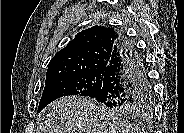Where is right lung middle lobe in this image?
I'll return each mask as SVG.
<instances>
[{"mask_svg":"<svg viewBox=\"0 0 184 133\" xmlns=\"http://www.w3.org/2000/svg\"><path fill=\"white\" fill-rule=\"evenodd\" d=\"M102 80L103 74L98 73L77 77H65L47 83L40 99L38 113L49 103L63 96L79 95L94 98L101 89ZM153 104V94L151 91L146 99L144 98L136 104L103 105L112 114L140 118L147 117L151 114Z\"/></svg>","mask_w":184,"mask_h":133,"instance_id":"obj_1","label":"right lung middle lobe"}]
</instances>
